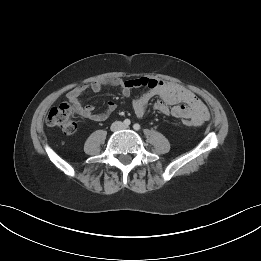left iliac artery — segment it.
Segmentation results:
<instances>
[{"mask_svg":"<svg viewBox=\"0 0 261 261\" xmlns=\"http://www.w3.org/2000/svg\"><path fill=\"white\" fill-rule=\"evenodd\" d=\"M133 128L135 130H139L140 129V125L138 123H136V124L133 125Z\"/></svg>","mask_w":261,"mask_h":261,"instance_id":"44dca946","label":"left iliac artery"}]
</instances>
